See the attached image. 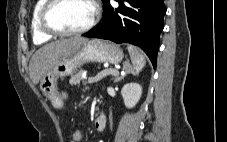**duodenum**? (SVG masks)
<instances>
[{
  "label": "duodenum",
  "instance_id": "duodenum-1",
  "mask_svg": "<svg viewBox=\"0 0 227 142\" xmlns=\"http://www.w3.org/2000/svg\"><path fill=\"white\" fill-rule=\"evenodd\" d=\"M106 126V116L104 113L99 114L94 121V128L96 131H103Z\"/></svg>",
  "mask_w": 227,
  "mask_h": 142
}]
</instances>
